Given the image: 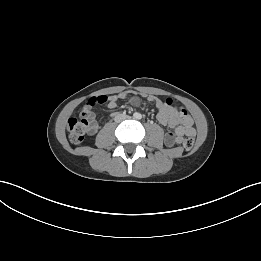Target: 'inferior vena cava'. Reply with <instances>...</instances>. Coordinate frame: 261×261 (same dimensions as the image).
<instances>
[{"label":"inferior vena cava","instance_id":"1","mask_svg":"<svg viewBox=\"0 0 261 261\" xmlns=\"http://www.w3.org/2000/svg\"><path fill=\"white\" fill-rule=\"evenodd\" d=\"M127 118H128L127 115H119V116H117V117L115 118V120H116L117 122H121V121H123V120H125V119H127Z\"/></svg>","mask_w":261,"mask_h":261}]
</instances>
